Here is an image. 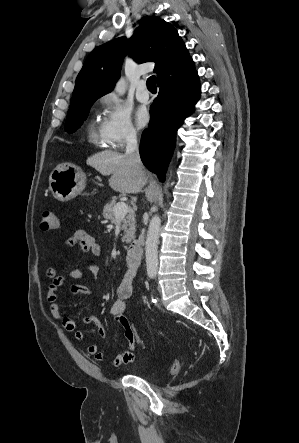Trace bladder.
<instances>
[{
	"label": "bladder",
	"mask_w": 299,
	"mask_h": 443,
	"mask_svg": "<svg viewBox=\"0 0 299 443\" xmlns=\"http://www.w3.org/2000/svg\"><path fill=\"white\" fill-rule=\"evenodd\" d=\"M132 372L134 375L146 380L149 383H157L160 381V376L157 373L150 371L143 365L134 368Z\"/></svg>",
	"instance_id": "bladder-1"
}]
</instances>
